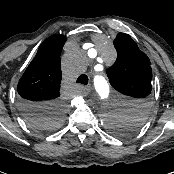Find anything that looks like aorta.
<instances>
[{
	"label": "aorta",
	"instance_id": "aorta-1",
	"mask_svg": "<svg viewBox=\"0 0 174 174\" xmlns=\"http://www.w3.org/2000/svg\"><path fill=\"white\" fill-rule=\"evenodd\" d=\"M105 53L111 55L113 59L115 58V51L112 47L107 46ZM95 94L102 113L101 122L103 124H109V117L111 116L121 117L124 115V112L117 105V101L114 98L113 90L111 89L110 84L105 78H96Z\"/></svg>",
	"mask_w": 174,
	"mask_h": 174
}]
</instances>
